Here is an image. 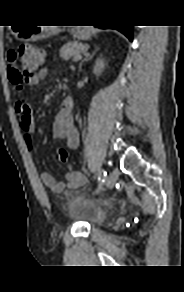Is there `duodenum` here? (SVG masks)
I'll return each mask as SVG.
<instances>
[{
    "label": "duodenum",
    "instance_id": "410a0bca",
    "mask_svg": "<svg viewBox=\"0 0 184 292\" xmlns=\"http://www.w3.org/2000/svg\"><path fill=\"white\" fill-rule=\"evenodd\" d=\"M71 105H72V98H71V97H66V98L63 100L62 104H61V106H62L63 108H68V107H70Z\"/></svg>",
    "mask_w": 184,
    "mask_h": 292
}]
</instances>
